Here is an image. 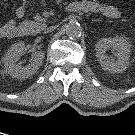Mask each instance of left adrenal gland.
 Returning a JSON list of instances; mask_svg holds the SVG:
<instances>
[{"instance_id": "obj_1", "label": "left adrenal gland", "mask_w": 135, "mask_h": 135, "mask_svg": "<svg viewBox=\"0 0 135 135\" xmlns=\"http://www.w3.org/2000/svg\"><path fill=\"white\" fill-rule=\"evenodd\" d=\"M93 22H98V21H100V20H92Z\"/></svg>"}]
</instances>
